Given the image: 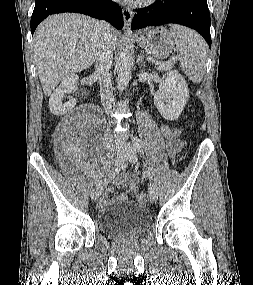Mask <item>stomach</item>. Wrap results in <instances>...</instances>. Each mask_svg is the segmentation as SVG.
<instances>
[{"mask_svg": "<svg viewBox=\"0 0 253 285\" xmlns=\"http://www.w3.org/2000/svg\"><path fill=\"white\" fill-rule=\"evenodd\" d=\"M137 41L143 50L160 60L167 58L175 49L172 34L164 27L145 30Z\"/></svg>", "mask_w": 253, "mask_h": 285, "instance_id": "stomach-1", "label": "stomach"}]
</instances>
